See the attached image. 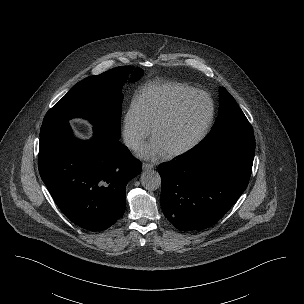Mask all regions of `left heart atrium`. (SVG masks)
I'll list each match as a JSON object with an SVG mask.
<instances>
[{"instance_id": "1", "label": "left heart atrium", "mask_w": 304, "mask_h": 304, "mask_svg": "<svg viewBox=\"0 0 304 304\" xmlns=\"http://www.w3.org/2000/svg\"><path fill=\"white\" fill-rule=\"evenodd\" d=\"M168 152L157 138H153L150 142L144 144L139 150L138 155L149 160H157L164 157Z\"/></svg>"}]
</instances>
